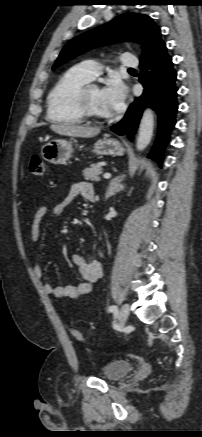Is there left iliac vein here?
I'll return each instance as SVG.
<instances>
[{"instance_id":"4c4485c4","label":"left iliac vein","mask_w":202,"mask_h":437,"mask_svg":"<svg viewBox=\"0 0 202 437\" xmlns=\"http://www.w3.org/2000/svg\"><path fill=\"white\" fill-rule=\"evenodd\" d=\"M130 313V306L128 304H124L121 307L119 312V322L121 325H124Z\"/></svg>"}]
</instances>
